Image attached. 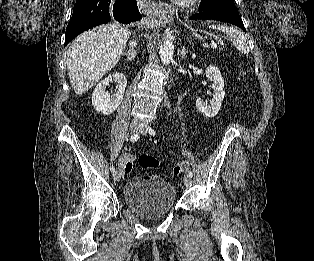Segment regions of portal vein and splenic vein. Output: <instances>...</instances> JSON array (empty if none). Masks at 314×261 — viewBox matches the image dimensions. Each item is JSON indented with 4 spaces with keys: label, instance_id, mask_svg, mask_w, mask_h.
Instances as JSON below:
<instances>
[{
    "label": "portal vein and splenic vein",
    "instance_id": "portal-vein-and-splenic-vein-1",
    "mask_svg": "<svg viewBox=\"0 0 314 261\" xmlns=\"http://www.w3.org/2000/svg\"><path fill=\"white\" fill-rule=\"evenodd\" d=\"M218 43H222V42H221V41H218ZM211 47H212V48H216V47H217V43L212 42Z\"/></svg>",
    "mask_w": 314,
    "mask_h": 261
}]
</instances>
